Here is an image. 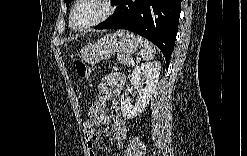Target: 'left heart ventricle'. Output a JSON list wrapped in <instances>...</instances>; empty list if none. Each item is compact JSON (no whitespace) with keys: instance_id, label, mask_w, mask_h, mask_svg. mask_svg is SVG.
<instances>
[{"instance_id":"obj_1","label":"left heart ventricle","mask_w":247,"mask_h":156,"mask_svg":"<svg viewBox=\"0 0 247 156\" xmlns=\"http://www.w3.org/2000/svg\"><path fill=\"white\" fill-rule=\"evenodd\" d=\"M104 11V7L97 1H85L80 3L73 16L76 26H83L97 19Z\"/></svg>"}]
</instances>
